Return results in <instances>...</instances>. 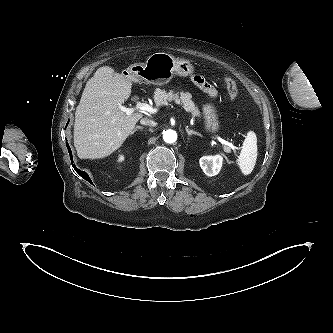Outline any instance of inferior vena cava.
<instances>
[{
    "label": "inferior vena cava",
    "instance_id": "602c4592",
    "mask_svg": "<svg viewBox=\"0 0 333 333\" xmlns=\"http://www.w3.org/2000/svg\"><path fill=\"white\" fill-rule=\"evenodd\" d=\"M140 123L146 126H155L156 123L154 121H152L151 119L148 118H143L140 120Z\"/></svg>",
    "mask_w": 333,
    "mask_h": 333
}]
</instances>
